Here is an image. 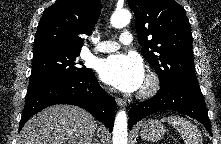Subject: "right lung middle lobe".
<instances>
[{
    "label": "right lung middle lobe",
    "mask_w": 221,
    "mask_h": 144,
    "mask_svg": "<svg viewBox=\"0 0 221 144\" xmlns=\"http://www.w3.org/2000/svg\"><path fill=\"white\" fill-rule=\"evenodd\" d=\"M80 52L47 50L34 53L28 90L58 78L85 77L91 72L77 60Z\"/></svg>",
    "instance_id": "1"
}]
</instances>
